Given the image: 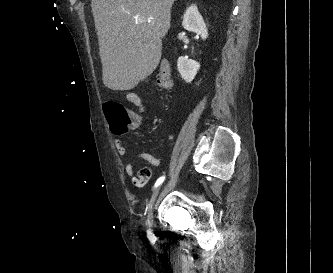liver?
I'll list each match as a JSON object with an SVG mask.
<instances>
[{
    "instance_id": "obj_1",
    "label": "liver",
    "mask_w": 333,
    "mask_h": 273,
    "mask_svg": "<svg viewBox=\"0 0 333 273\" xmlns=\"http://www.w3.org/2000/svg\"><path fill=\"white\" fill-rule=\"evenodd\" d=\"M175 0H92L102 80L131 90L158 66Z\"/></svg>"
}]
</instances>
